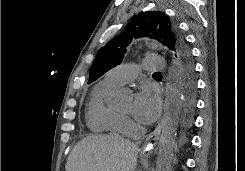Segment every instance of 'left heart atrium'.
Here are the masks:
<instances>
[{"mask_svg": "<svg viewBox=\"0 0 245 171\" xmlns=\"http://www.w3.org/2000/svg\"><path fill=\"white\" fill-rule=\"evenodd\" d=\"M161 101L157 93L141 88L134 97L133 115L143 124H151L159 116Z\"/></svg>", "mask_w": 245, "mask_h": 171, "instance_id": "1", "label": "left heart atrium"}]
</instances>
